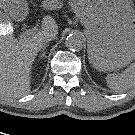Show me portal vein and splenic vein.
<instances>
[{"label":"portal vein and splenic vein","instance_id":"portal-vein-and-splenic-vein-1","mask_svg":"<svg viewBox=\"0 0 135 135\" xmlns=\"http://www.w3.org/2000/svg\"><path fill=\"white\" fill-rule=\"evenodd\" d=\"M12 33V30L7 28V27H2L0 28V35H6V34H10ZM34 33V30L32 29H29V30H25L23 33H22V36L25 37V36H29L31 34Z\"/></svg>","mask_w":135,"mask_h":135}]
</instances>
